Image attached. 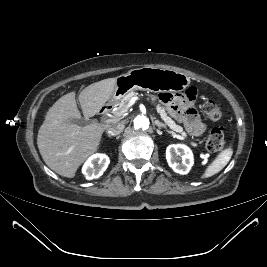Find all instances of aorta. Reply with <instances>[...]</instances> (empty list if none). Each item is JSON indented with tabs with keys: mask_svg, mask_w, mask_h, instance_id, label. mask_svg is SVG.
<instances>
[{
	"mask_svg": "<svg viewBox=\"0 0 267 267\" xmlns=\"http://www.w3.org/2000/svg\"><path fill=\"white\" fill-rule=\"evenodd\" d=\"M134 128L137 130H146L149 128L150 121L145 115H137L133 120Z\"/></svg>",
	"mask_w": 267,
	"mask_h": 267,
	"instance_id": "aorta-1",
	"label": "aorta"
}]
</instances>
